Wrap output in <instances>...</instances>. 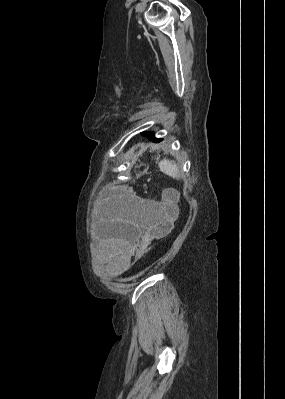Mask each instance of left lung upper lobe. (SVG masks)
Instances as JSON below:
<instances>
[{
	"mask_svg": "<svg viewBox=\"0 0 285 399\" xmlns=\"http://www.w3.org/2000/svg\"><path fill=\"white\" fill-rule=\"evenodd\" d=\"M142 134H153V132H143Z\"/></svg>",
	"mask_w": 285,
	"mask_h": 399,
	"instance_id": "5c2ea615",
	"label": "left lung upper lobe"
}]
</instances>
